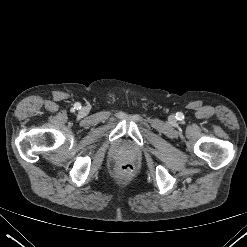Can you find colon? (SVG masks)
Instances as JSON below:
<instances>
[{
  "instance_id": "5ec220e1",
  "label": "colon",
  "mask_w": 247,
  "mask_h": 247,
  "mask_svg": "<svg viewBox=\"0 0 247 247\" xmlns=\"http://www.w3.org/2000/svg\"><path fill=\"white\" fill-rule=\"evenodd\" d=\"M133 166L131 164L125 163L118 167V170L124 174L131 173L133 171Z\"/></svg>"
}]
</instances>
